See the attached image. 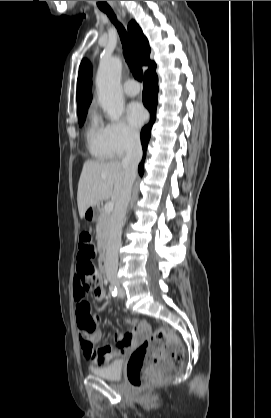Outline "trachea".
<instances>
[{
	"label": "trachea",
	"instance_id": "1",
	"mask_svg": "<svg viewBox=\"0 0 271 418\" xmlns=\"http://www.w3.org/2000/svg\"><path fill=\"white\" fill-rule=\"evenodd\" d=\"M102 11L108 15V17L114 23V25L116 26L118 30V33L122 42L123 50H124V57H125L127 64L130 67V70L133 76L138 81H142L143 79L142 67L136 59L135 48L130 37L128 36L122 24H120L117 21L116 16L112 9H104Z\"/></svg>",
	"mask_w": 271,
	"mask_h": 418
}]
</instances>
